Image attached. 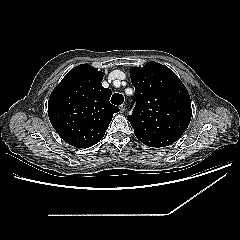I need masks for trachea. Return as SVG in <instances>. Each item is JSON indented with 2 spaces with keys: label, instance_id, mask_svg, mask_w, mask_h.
I'll return each mask as SVG.
<instances>
[{
  "label": "trachea",
  "instance_id": "3493384b",
  "mask_svg": "<svg viewBox=\"0 0 240 240\" xmlns=\"http://www.w3.org/2000/svg\"><path fill=\"white\" fill-rule=\"evenodd\" d=\"M124 102V96L119 93H115L111 98V103L114 105H121Z\"/></svg>",
  "mask_w": 240,
  "mask_h": 240
}]
</instances>
